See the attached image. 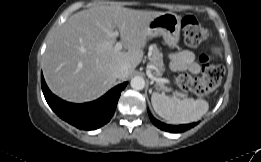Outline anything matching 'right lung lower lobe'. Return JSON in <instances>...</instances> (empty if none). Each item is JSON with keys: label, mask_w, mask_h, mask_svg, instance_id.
<instances>
[{"label": "right lung lower lobe", "mask_w": 261, "mask_h": 162, "mask_svg": "<svg viewBox=\"0 0 261 162\" xmlns=\"http://www.w3.org/2000/svg\"><path fill=\"white\" fill-rule=\"evenodd\" d=\"M126 85L127 82L114 87L96 101L73 104L52 94L43 75H41L42 91L51 109L62 120L84 130H95L110 121L115 112L120 93Z\"/></svg>", "instance_id": "right-lung-lower-lobe-1"}]
</instances>
